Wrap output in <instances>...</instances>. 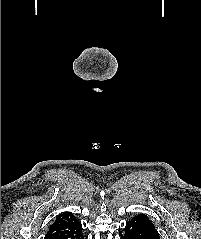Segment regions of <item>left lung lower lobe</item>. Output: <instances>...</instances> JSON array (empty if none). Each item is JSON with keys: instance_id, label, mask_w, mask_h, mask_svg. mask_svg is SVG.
<instances>
[{"instance_id": "1", "label": "left lung lower lobe", "mask_w": 201, "mask_h": 239, "mask_svg": "<svg viewBox=\"0 0 201 239\" xmlns=\"http://www.w3.org/2000/svg\"><path fill=\"white\" fill-rule=\"evenodd\" d=\"M123 239H160L146 224L131 220L126 223Z\"/></svg>"}]
</instances>
